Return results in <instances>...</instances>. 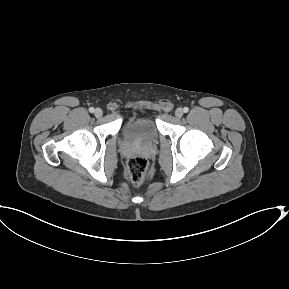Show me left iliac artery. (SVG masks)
I'll return each mask as SVG.
<instances>
[{
  "mask_svg": "<svg viewBox=\"0 0 289 289\" xmlns=\"http://www.w3.org/2000/svg\"><path fill=\"white\" fill-rule=\"evenodd\" d=\"M183 111H184V113H187L189 111V108L188 107H184Z\"/></svg>",
  "mask_w": 289,
  "mask_h": 289,
  "instance_id": "left-iliac-artery-1",
  "label": "left iliac artery"
}]
</instances>
